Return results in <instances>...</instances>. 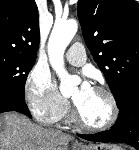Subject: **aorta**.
<instances>
[{
    "label": "aorta",
    "instance_id": "aorta-1",
    "mask_svg": "<svg viewBox=\"0 0 139 150\" xmlns=\"http://www.w3.org/2000/svg\"><path fill=\"white\" fill-rule=\"evenodd\" d=\"M76 20L56 21L48 41V54L51 66L61 79L60 92L64 96L73 93L77 80L69 76L64 69V52L76 34Z\"/></svg>",
    "mask_w": 139,
    "mask_h": 150
}]
</instances>
